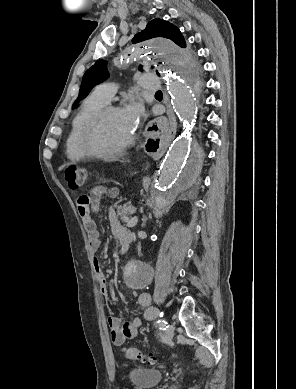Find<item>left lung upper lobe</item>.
I'll use <instances>...</instances> for the list:
<instances>
[{
	"label": "left lung upper lobe",
	"instance_id": "1",
	"mask_svg": "<svg viewBox=\"0 0 296 389\" xmlns=\"http://www.w3.org/2000/svg\"><path fill=\"white\" fill-rule=\"evenodd\" d=\"M154 37H165L171 39L180 47L186 46L180 30L168 21L161 19H154L150 21L141 33L135 35V37L132 39V43H138ZM106 66L107 62L105 60H98L86 71L82 79L79 96L72 106L73 109L82 98L88 95L90 90L96 84H99L108 78L109 74ZM193 69L196 72L198 67L193 66Z\"/></svg>",
	"mask_w": 296,
	"mask_h": 389
}]
</instances>
